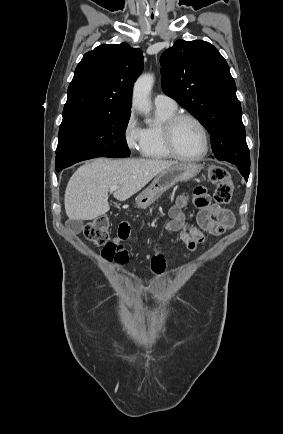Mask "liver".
Here are the masks:
<instances>
[{
  "instance_id": "1",
  "label": "liver",
  "mask_w": 283,
  "mask_h": 434,
  "mask_svg": "<svg viewBox=\"0 0 283 434\" xmlns=\"http://www.w3.org/2000/svg\"><path fill=\"white\" fill-rule=\"evenodd\" d=\"M177 164L158 159L97 158L79 167L65 191V211L69 220H92L110 210L108 191L125 201L145 187L155 176Z\"/></svg>"
}]
</instances>
